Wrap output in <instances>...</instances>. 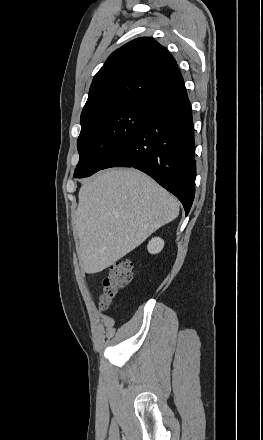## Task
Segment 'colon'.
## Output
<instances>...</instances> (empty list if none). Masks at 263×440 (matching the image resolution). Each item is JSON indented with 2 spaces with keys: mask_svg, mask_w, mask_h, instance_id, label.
Returning <instances> with one entry per match:
<instances>
[{
  "mask_svg": "<svg viewBox=\"0 0 263 440\" xmlns=\"http://www.w3.org/2000/svg\"><path fill=\"white\" fill-rule=\"evenodd\" d=\"M132 280L131 263L122 260L109 267L108 275L103 281V293L99 298L101 309L109 308L118 291L126 288Z\"/></svg>",
  "mask_w": 263,
  "mask_h": 440,
  "instance_id": "obj_1",
  "label": "colon"
}]
</instances>
